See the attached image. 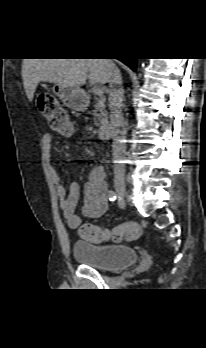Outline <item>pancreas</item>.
Here are the masks:
<instances>
[{"label":"pancreas","instance_id":"1","mask_svg":"<svg viewBox=\"0 0 206 348\" xmlns=\"http://www.w3.org/2000/svg\"><path fill=\"white\" fill-rule=\"evenodd\" d=\"M93 115H94V124L95 126H100L101 124L107 122V110L105 106V99L100 97L97 99V102L93 105Z\"/></svg>","mask_w":206,"mask_h":348}]
</instances>
